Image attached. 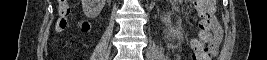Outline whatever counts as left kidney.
Returning a JSON list of instances; mask_svg holds the SVG:
<instances>
[{
    "instance_id": "5707ae66",
    "label": "left kidney",
    "mask_w": 267,
    "mask_h": 60,
    "mask_svg": "<svg viewBox=\"0 0 267 60\" xmlns=\"http://www.w3.org/2000/svg\"><path fill=\"white\" fill-rule=\"evenodd\" d=\"M161 19L163 23H168L170 21V14H164Z\"/></svg>"
}]
</instances>
